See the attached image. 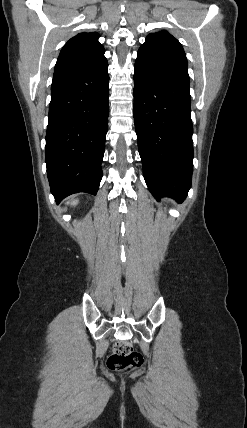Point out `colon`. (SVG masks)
Returning a JSON list of instances; mask_svg holds the SVG:
<instances>
[{"instance_id":"1","label":"colon","mask_w":247,"mask_h":428,"mask_svg":"<svg viewBox=\"0 0 247 428\" xmlns=\"http://www.w3.org/2000/svg\"><path fill=\"white\" fill-rule=\"evenodd\" d=\"M142 362L141 354L135 351L132 345L126 341L118 342L107 358L108 368L121 373L138 368Z\"/></svg>"}]
</instances>
